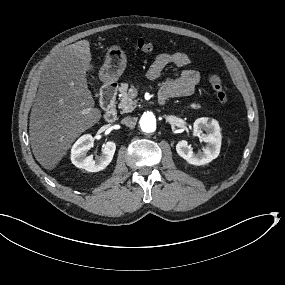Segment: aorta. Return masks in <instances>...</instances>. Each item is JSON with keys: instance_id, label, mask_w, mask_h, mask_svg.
Wrapping results in <instances>:
<instances>
[{"instance_id": "aorta-1", "label": "aorta", "mask_w": 285, "mask_h": 285, "mask_svg": "<svg viewBox=\"0 0 285 285\" xmlns=\"http://www.w3.org/2000/svg\"><path fill=\"white\" fill-rule=\"evenodd\" d=\"M135 125L140 133L150 135L158 130L160 120L155 112L145 110L137 115Z\"/></svg>"}]
</instances>
